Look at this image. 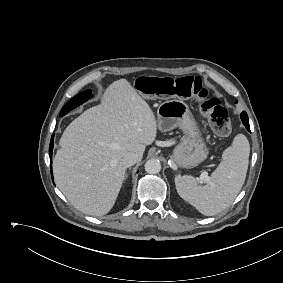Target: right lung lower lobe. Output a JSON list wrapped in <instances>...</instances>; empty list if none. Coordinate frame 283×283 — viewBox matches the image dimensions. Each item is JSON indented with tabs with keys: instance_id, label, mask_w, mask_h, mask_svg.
Instances as JSON below:
<instances>
[{
	"instance_id": "right-lung-lower-lobe-1",
	"label": "right lung lower lobe",
	"mask_w": 283,
	"mask_h": 283,
	"mask_svg": "<svg viewBox=\"0 0 283 283\" xmlns=\"http://www.w3.org/2000/svg\"><path fill=\"white\" fill-rule=\"evenodd\" d=\"M53 140H54V135H52V137H51V142H50V146H49V156H50V163L52 164V152H53V146H54V142H53ZM51 167V169H52V166H50ZM51 173H52V170H51Z\"/></svg>"
}]
</instances>
